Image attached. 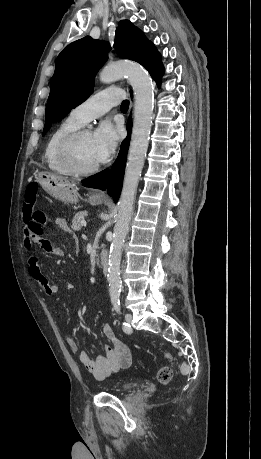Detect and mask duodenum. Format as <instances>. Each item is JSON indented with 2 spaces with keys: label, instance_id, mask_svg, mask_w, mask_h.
Wrapping results in <instances>:
<instances>
[{
  "label": "duodenum",
  "instance_id": "410a0bca",
  "mask_svg": "<svg viewBox=\"0 0 261 459\" xmlns=\"http://www.w3.org/2000/svg\"><path fill=\"white\" fill-rule=\"evenodd\" d=\"M98 260L103 272L106 274L108 272V259L105 250L100 251Z\"/></svg>",
  "mask_w": 261,
  "mask_h": 459
}]
</instances>
